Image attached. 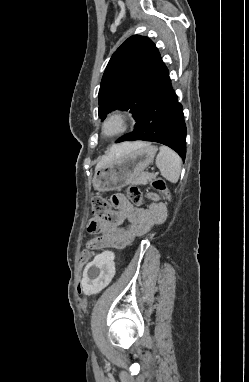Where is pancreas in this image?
Here are the masks:
<instances>
[{
  "mask_svg": "<svg viewBox=\"0 0 249 382\" xmlns=\"http://www.w3.org/2000/svg\"><path fill=\"white\" fill-rule=\"evenodd\" d=\"M151 178H153V176L150 174H142V175L136 177L135 179H133V181L131 183H132V185H142V184L145 185L149 181H151Z\"/></svg>",
  "mask_w": 249,
  "mask_h": 382,
  "instance_id": "cf45deb5",
  "label": "pancreas"
}]
</instances>
